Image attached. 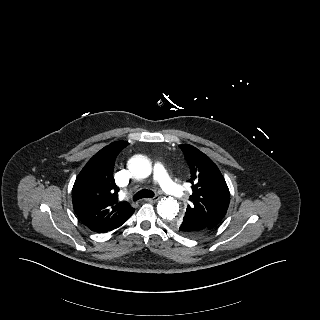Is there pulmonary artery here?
<instances>
[{"mask_svg": "<svg viewBox=\"0 0 320 320\" xmlns=\"http://www.w3.org/2000/svg\"><path fill=\"white\" fill-rule=\"evenodd\" d=\"M153 177L154 180L159 183V185L165 192L176 198L183 197V192L181 188L171 180L165 167L161 163H156L154 165Z\"/></svg>", "mask_w": 320, "mask_h": 320, "instance_id": "e3ab8cb5", "label": "pulmonary artery"}]
</instances>
